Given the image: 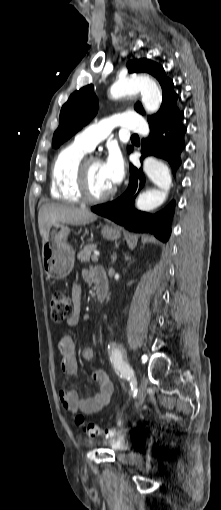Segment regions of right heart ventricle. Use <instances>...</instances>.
I'll return each mask as SVG.
<instances>
[{"label":"right heart ventricle","mask_w":221,"mask_h":510,"mask_svg":"<svg viewBox=\"0 0 221 510\" xmlns=\"http://www.w3.org/2000/svg\"><path fill=\"white\" fill-rule=\"evenodd\" d=\"M89 152L75 141L60 150L51 168L50 195L54 199L70 203L81 200L75 187L76 168L81 159Z\"/></svg>","instance_id":"1"}]
</instances>
